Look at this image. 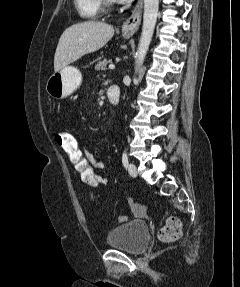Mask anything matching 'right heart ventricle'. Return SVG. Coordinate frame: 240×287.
Wrapping results in <instances>:
<instances>
[{
    "mask_svg": "<svg viewBox=\"0 0 240 287\" xmlns=\"http://www.w3.org/2000/svg\"><path fill=\"white\" fill-rule=\"evenodd\" d=\"M79 15L84 19H96L102 13L100 0H74Z\"/></svg>",
    "mask_w": 240,
    "mask_h": 287,
    "instance_id": "obj_1",
    "label": "right heart ventricle"
}]
</instances>
